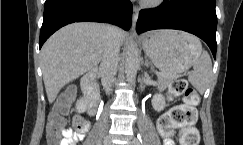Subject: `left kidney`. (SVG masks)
<instances>
[{
    "mask_svg": "<svg viewBox=\"0 0 243 145\" xmlns=\"http://www.w3.org/2000/svg\"><path fill=\"white\" fill-rule=\"evenodd\" d=\"M165 99L162 94H156L152 98V107L155 111L160 112L165 107Z\"/></svg>",
    "mask_w": 243,
    "mask_h": 145,
    "instance_id": "obj_1",
    "label": "left kidney"
}]
</instances>
